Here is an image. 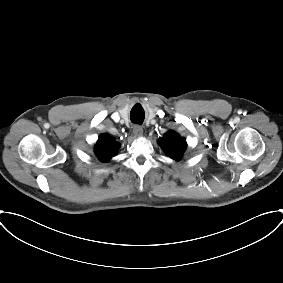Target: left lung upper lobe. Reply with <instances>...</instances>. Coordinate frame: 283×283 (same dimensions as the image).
Here are the masks:
<instances>
[{
	"mask_svg": "<svg viewBox=\"0 0 283 283\" xmlns=\"http://www.w3.org/2000/svg\"><path fill=\"white\" fill-rule=\"evenodd\" d=\"M167 155L179 160L186 148V140L178 133L169 131L158 142Z\"/></svg>",
	"mask_w": 283,
	"mask_h": 283,
	"instance_id": "left-lung-upper-lobe-1",
	"label": "left lung upper lobe"
}]
</instances>
